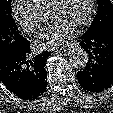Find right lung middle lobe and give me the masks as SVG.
Here are the masks:
<instances>
[{
  "label": "right lung middle lobe",
  "mask_w": 113,
  "mask_h": 113,
  "mask_svg": "<svg viewBox=\"0 0 113 113\" xmlns=\"http://www.w3.org/2000/svg\"><path fill=\"white\" fill-rule=\"evenodd\" d=\"M11 2L12 0H0V60L27 40L11 16Z\"/></svg>",
  "instance_id": "right-lung-middle-lobe-1"
}]
</instances>
